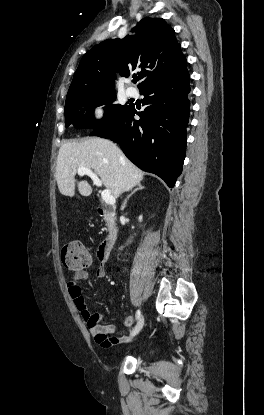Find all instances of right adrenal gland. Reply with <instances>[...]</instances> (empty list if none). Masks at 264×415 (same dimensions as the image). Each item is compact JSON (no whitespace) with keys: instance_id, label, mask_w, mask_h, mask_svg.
<instances>
[{"instance_id":"2a0ac1e0","label":"right adrenal gland","mask_w":264,"mask_h":415,"mask_svg":"<svg viewBox=\"0 0 264 415\" xmlns=\"http://www.w3.org/2000/svg\"><path fill=\"white\" fill-rule=\"evenodd\" d=\"M142 189H144V187L141 185V184H138L137 185V188H135L132 192H131V194H129L128 196H127V198L124 200V203H123V205H122V208H125L126 207V204H127V201L129 200V198L136 192V191H138V190H142Z\"/></svg>"}]
</instances>
